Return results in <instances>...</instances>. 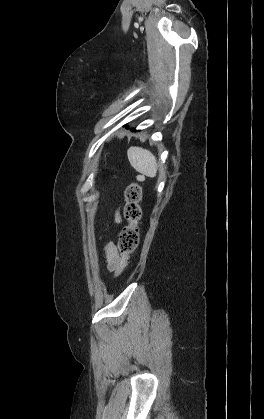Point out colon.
I'll return each instance as SVG.
<instances>
[{"label":"colon","mask_w":264,"mask_h":419,"mask_svg":"<svg viewBox=\"0 0 264 419\" xmlns=\"http://www.w3.org/2000/svg\"><path fill=\"white\" fill-rule=\"evenodd\" d=\"M142 190L139 184H130L125 191L126 204L124 216L127 225L124 226L119 234L118 249L121 255L120 264L116 270V276L119 277L128 265L130 255L135 251L139 240L138 224L142 218L140 201Z\"/></svg>","instance_id":"1"}]
</instances>
